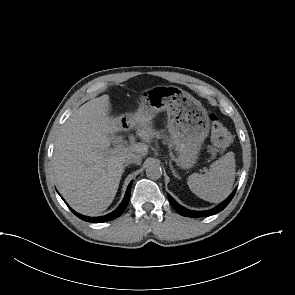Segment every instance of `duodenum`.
Segmentation results:
<instances>
[{"label": "duodenum", "mask_w": 295, "mask_h": 295, "mask_svg": "<svg viewBox=\"0 0 295 295\" xmlns=\"http://www.w3.org/2000/svg\"><path fill=\"white\" fill-rule=\"evenodd\" d=\"M126 128H127V122L126 121H121L120 123V129L122 130V133L125 135L126 134Z\"/></svg>", "instance_id": "410a0bca"}]
</instances>
